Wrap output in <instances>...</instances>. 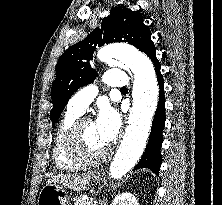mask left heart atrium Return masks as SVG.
<instances>
[{
	"instance_id": "left-heart-atrium-1",
	"label": "left heart atrium",
	"mask_w": 222,
	"mask_h": 205,
	"mask_svg": "<svg viewBox=\"0 0 222 205\" xmlns=\"http://www.w3.org/2000/svg\"><path fill=\"white\" fill-rule=\"evenodd\" d=\"M94 125L100 139L109 144L119 131L120 117L113 108L104 106L100 109Z\"/></svg>"
}]
</instances>
